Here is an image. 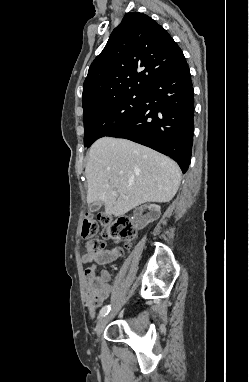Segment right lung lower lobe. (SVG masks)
<instances>
[{
    "instance_id": "98d812e1",
    "label": "right lung lower lobe",
    "mask_w": 249,
    "mask_h": 382,
    "mask_svg": "<svg viewBox=\"0 0 249 382\" xmlns=\"http://www.w3.org/2000/svg\"><path fill=\"white\" fill-rule=\"evenodd\" d=\"M189 67L184 60L145 89L140 110L108 136L125 138L178 162L183 173L190 164L194 99Z\"/></svg>"
}]
</instances>
